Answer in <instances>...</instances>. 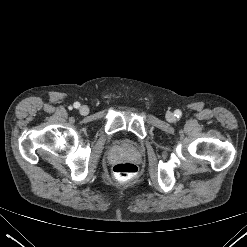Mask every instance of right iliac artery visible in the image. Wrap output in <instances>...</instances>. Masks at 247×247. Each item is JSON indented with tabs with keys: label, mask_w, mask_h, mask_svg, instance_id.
Returning <instances> with one entry per match:
<instances>
[{
	"label": "right iliac artery",
	"mask_w": 247,
	"mask_h": 247,
	"mask_svg": "<svg viewBox=\"0 0 247 247\" xmlns=\"http://www.w3.org/2000/svg\"><path fill=\"white\" fill-rule=\"evenodd\" d=\"M73 106H74V108H79L80 107V103L79 102H75Z\"/></svg>",
	"instance_id": "right-iliac-artery-1"
}]
</instances>
